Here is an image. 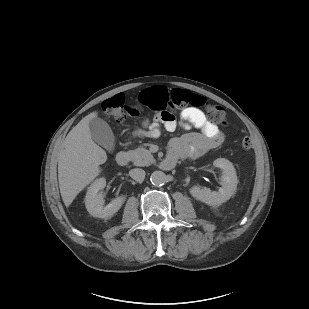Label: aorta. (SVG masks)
<instances>
[{
  "label": "aorta",
  "instance_id": "aorta-1",
  "mask_svg": "<svg viewBox=\"0 0 309 309\" xmlns=\"http://www.w3.org/2000/svg\"><path fill=\"white\" fill-rule=\"evenodd\" d=\"M150 181L154 186L159 187L166 183L167 176L162 171H155L151 174Z\"/></svg>",
  "mask_w": 309,
  "mask_h": 309
}]
</instances>
